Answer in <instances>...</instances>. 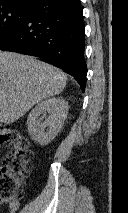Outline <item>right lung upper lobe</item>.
I'll return each instance as SVG.
<instances>
[{
  "label": "right lung upper lobe",
  "mask_w": 128,
  "mask_h": 213,
  "mask_svg": "<svg viewBox=\"0 0 128 213\" xmlns=\"http://www.w3.org/2000/svg\"><path fill=\"white\" fill-rule=\"evenodd\" d=\"M39 0H0V7L5 5H18L33 7Z\"/></svg>",
  "instance_id": "1"
}]
</instances>
